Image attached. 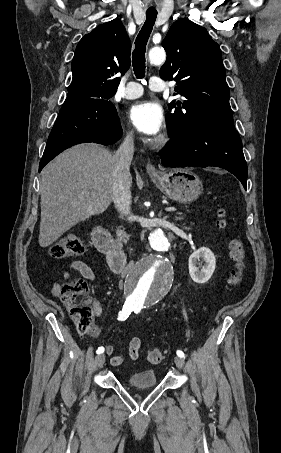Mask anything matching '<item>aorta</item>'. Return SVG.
<instances>
[{"mask_svg": "<svg viewBox=\"0 0 281 453\" xmlns=\"http://www.w3.org/2000/svg\"><path fill=\"white\" fill-rule=\"evenodd\" d=\"M149 60L155 65L163 64L166 60L165 51L161 48H152ZM149 240L153 249L159 252V256L145 258L127 277L128 302L135 306L159 302L168 293L173 282V267L162 257V253L168 251L171 246L170 240L161 229L150 233Z\"/></svg>", "mask_w": 281, "mask_h": 453, "instance_id": "aorta-1", "label": "aorta"}]
</instances>
